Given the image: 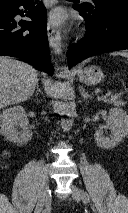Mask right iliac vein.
Returning a JSON list of instances; mask_svg holds the SVG:
<instances>
[{
    "mask_svg": "<svg viewBox=\"0 0 128 213\" xmlns=\"http://www.w3.org/2000/svg\"><path fill=\"white\" fill-rule=\"evenodd\" d=\"M49 190H50L49 189V180L45 179L42 184L41 192H40L34 213H41L43 207L49 202V200H50Z\"/></svg>",
    "mask_w": 128,
    "mask_h": 213,
    "instance_id": "right-iliac-vein-1",
    "label": "right iliac vein"
}]
</instances>
